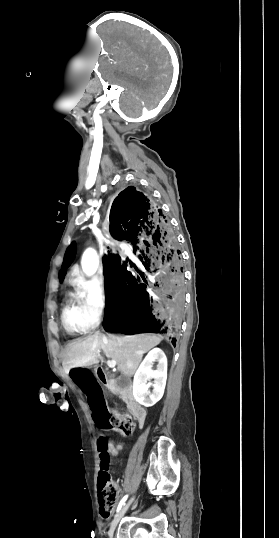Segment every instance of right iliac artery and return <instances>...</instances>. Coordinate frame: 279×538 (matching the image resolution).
<instances>
[{
	"mask_svg": "<svg viewBox=\"0 0 279 538\" xmlns=\"http://www.w3.org/2000/svg\"><path fill=\"white\" fill-rule=\"evenodd\" d=\"M127 497H128V496L126 495V496H124V497L122 498V500L120 501V503H119V505H118V507H117V512H118V511L122 508V506L125 504V501L127 500Z\"/></svg>",
	"mask_w": 279,
	"mask_h": 538,
	"instance_id": "1",
	"label": "right iliac artery"
}]
</instances>
